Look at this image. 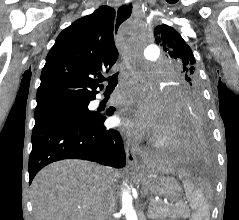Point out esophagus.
Returning <instances> with one entry per match:
<instances>
[{"label": "esophagus", "instance_id": "esophagus-1", "mask_svg": "<svg viewBox=\"0 0 239 220\" xmlns=\"http://www.w3.org/2000/svg\"><path fill=\"white\" fill-rule=\"evenodd\" d=\"M136 13V7L135 4L132 3L131 5H122L119 7L118 12H117V20L116 24H114V33L117 36L119 33L120 29V24L124 22L126 19L130 17V15H133ZM126 151V157H127V162L131 167L137 168L138 167V160L136 158V154L133 151V149L130 147L129 144L126 145L125 147Z\"/></svg>", "mask_w": 239, "mask_h": 220}]
</instances>
